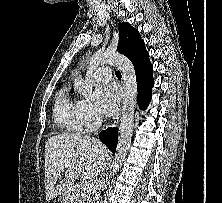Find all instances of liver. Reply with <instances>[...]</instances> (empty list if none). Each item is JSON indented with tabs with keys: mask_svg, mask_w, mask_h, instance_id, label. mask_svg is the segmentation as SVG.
<instances>
[{
	"mask_svg": "<svg viewBox=\"0 0 222 203\" xmlns=\"http://www.w3.org/2000/svg\"><path fill=\"white\" fill-rule=\"evenodd\" d=\"M109 153L97 139L82 134H58L45 143V193L49 202L58 195L72 197L74 183L93 182L104 170ZM64 174L60 183L56 182Z\"/></svg>",
	"mask_w": 222,
	"mask_h": 203,
	"instance_id": "1",
	"label": "liver"
}]
</instances>
